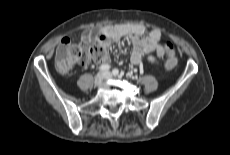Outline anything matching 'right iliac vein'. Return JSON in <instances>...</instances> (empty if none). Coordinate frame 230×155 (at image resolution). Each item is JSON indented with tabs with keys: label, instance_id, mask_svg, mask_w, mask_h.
Listing matches in <instances>:
<instances>
[{
	"label": "right iliac vein",
	"instance_id": "63e3f726",
	"mask_svg": "<svg viewBox=\"0 0 230 155\" xmlns=\"http://www.w3.org/2000/svg\"><path fill=\"white\" fill-rule=\"evenodd\" d=\"M105 78L104 73H98L94 79V85L95 86H100Z\"/></svg>",
	"mask_w": 230,
	"mask_h": 155
}]
</instances>
